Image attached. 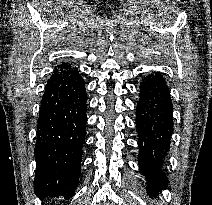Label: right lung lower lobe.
<instances>
[{
    "label": "right lung lower lobe",
    "instance_id": "obj_1",
    "mask_svg": "<svg viewBox=\"0 0 212 205\" xmlns=\"http://www.w3.org/2000/svg\"><path fill=\"white\" fill-rule=\"evenodd\" d=\"M85 81L70 63L57 65L45 86L37 121L34 189L47 196L74 195L79 183L87 122Z\"/></svg>",
    "mask_w": 212,
    "mask_h": 205
}]
</instances>
